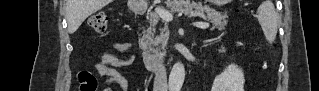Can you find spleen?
Segmentation results:
<instances>
[{
	"label": "spleen",
	"instance_id": "spleen-1",
	"mask_svg": "<svg viewBox=\"0 0 319 91\" xmlns=\"http://www.w3.org/2000/svg\"><path fill=\"white\" fill-rule=\"evenodd\" d=\"M257 19L266 40L272 44L277 35L279 16L271 0L264 1L257 9Z\"/></svg>",
	"mask_w": 319,
	"mask_h": 91
}]
</instances>
